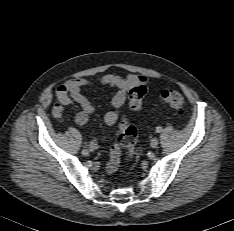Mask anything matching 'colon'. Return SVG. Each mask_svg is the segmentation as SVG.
<instances>
[{"label":"colon","instance_id":"5ec220e1","mask_svg":"<svg viewBox=\"0 0 234 231\" xmlns=\"http://www.w3.org/2000/svg\"><path fill=\"white\" fill-rule=\"evenodd\" d=\"M146 92V81L140 78L129 91V105L132 110L139 111L141 109ZM159 96L161 101L172 109L180 110L184 106V97L177 90L163 89L160 91ZM136 135V129L129 123L128 117L122 116L117 131V138L111 149V159L116 165H118L120 160L121 147L126 150L124 162L126 164L131 162L135 154Z\"/></svg>","mask_w":234,"mask_h":231}]
</instances>
